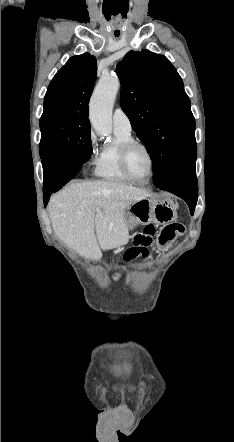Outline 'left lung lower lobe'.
<instances>
[{
  "mask_svg": "<svg viewBox=\"0 0 234 442\" xmlns=\"http://www.w3.org/2000/svg\"><path fill=\"white\" fill-rule=\"evenodd\" d=\"M197 147L193 145L183 156L174 172L157 188L172 192L184 199L193 215L197 203V178H196Z\"/></svg>",
  "mask_w": 234,
  "mask_h": 442,
  "instance_id": "obj_1",
  "label": "left lung lower lobe"
}]
</instances>
